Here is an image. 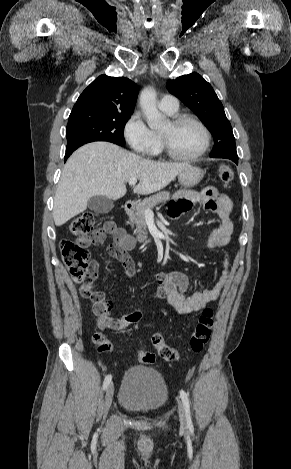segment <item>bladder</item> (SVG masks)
I'll use <instances>...</instances> for the list:
<instances>
[{"label": "bladder", "mask_w": 291, "mask_h": 469, "mask_svg": "<svg viewBox=\"0 0 291 469\" xmlns=\"http://www.w3.org/2000/svg\"><path fill=\"white\" fill-rule=\"evenodd\" d=\"M167 399L166 383L157 371L134 366L125 372L118 397L124 409L138 414H153L163 408Z\"/></svg>", "instance_id": "bladder-1"}]
</instances>
